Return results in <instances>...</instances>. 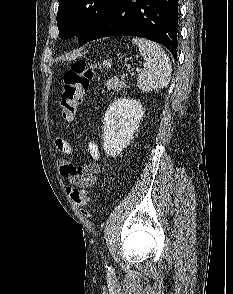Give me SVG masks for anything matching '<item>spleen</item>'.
Wrapping results in <instances>:
<instances>
[{
    "label": "spleen",
    "instance_id": "obj_1",
    "mask_svg": "<svg viewBox=\"0 0 233 294\" xmlns=\"http://www.w3.org/2000/svg\"><path fill=\"white\" fill-rule=\"evenodd\" d=\"M139 48L144 68L137 77V85L143 92L167 87L171 77V63L165 51L155 42L133 38Z\"/></svg>",
    "mask_w": 233,
    "mask_h": 294
}]
</instances>
